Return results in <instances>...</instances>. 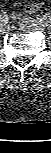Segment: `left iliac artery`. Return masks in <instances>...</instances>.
<instances>
[{
	"label": "left iliac artery",
	"instance_id": "obj_1",
	"mask_svg": "<svg viewBox=\"0 0 51 153\" xmlns=\"http://www.w3.org/2000/svg\"><path fill=\"white\" fill-rule=\"evenodd\" d=\"M39 22L45 23L48 28L51 27V14L44 15Z\"/></svg>",
	"mask_w": 51,
	"mask_h": 153
}]
</instances>
